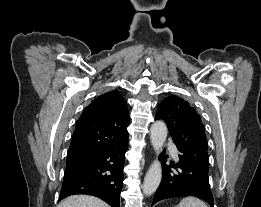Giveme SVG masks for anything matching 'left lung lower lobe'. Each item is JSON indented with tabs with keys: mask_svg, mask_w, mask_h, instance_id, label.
<instances>
[{
	"mask_svg": "<svg viewBox=\"0 0 261 207\" xmlns=\"http://www.w3.org/2000/svg\"><path fill=\"white\" fill-rule=\"evenodd\" d=\"M161 161L164 165L162 181L156 191L152 205L168 198L195 196L214 207L208 170L180 155L179 161L175 165L174 163H171V166L165 165L166 158L164 157H162ZM171 167L175 171H172Z\"/></svg>",
	"mask_w": 261,
	"mask_h": 207,
	"instance_id": "left-lung-lower-lobe-1",
	"label": "left lung lower lobe"
}]
</instances>
